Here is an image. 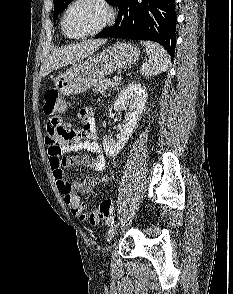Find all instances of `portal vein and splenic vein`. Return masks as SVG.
Segmentation results:
<instances>
[{
  "instance_id": "obj_1",
  "label": "portal vein and splenic vein",
  "mask_w": 233,
  "mask_h": 294,
  "mask_svg": "<svg viewBox=\"0 0 233 294\" xmlns=\"http://www.w3.org/2000/svg\"><path fill=\"white\" fill-rule=\"evenodd\" d=\"M113 79H114V81H116V82H117V81H120V78L117 77V76H115Z\"/></svg>"
}]
</instances>
